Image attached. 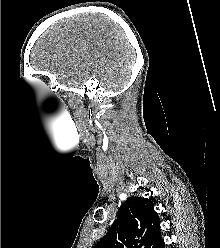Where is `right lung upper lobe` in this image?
I'll use <instances>...</instances> for the list:
<instances>
[{
	"label": "right lung upper lobe",
	"mask_w": 220,
	"mask_h": 248,
	"mask_svg": "<svg viewBox=\"0 0 220 248\" xmlns=\"http://www.w3.org/2000/svg\"><path fill=\"white\" fill-rule=\"evenodd\" d=\"M162 240L151 199L130 197L107 234L94 248H155Z\"/></svg>",
	"instance_id": "1"
}]
</instances>
